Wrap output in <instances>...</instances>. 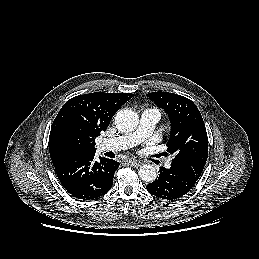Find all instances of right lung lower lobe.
<instances>
[{
    "label": "right lung lower lobe",
    "mask_w": 259,
    "mask_h": 259,
    "mask_svg": "<svg viewBox=\"0 0 259 259\" xmlns=\"http://www.w3.org/2000/svg\"><path fill=\"white\" fill-rule=\"evenodd\" d=\"M95 154L80 155L55 165L62 186L73 196L90 200L97 198L113 185L120 163L107 158L94 159Z\"/></svg>",
    "instance_id": "obj_1"
}]
</instances>
